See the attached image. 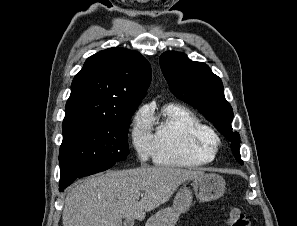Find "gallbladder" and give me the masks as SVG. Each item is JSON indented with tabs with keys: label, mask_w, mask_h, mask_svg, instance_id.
Segmentation results:
<instances>
[{
	"label": "gallbladder",
	"mask_w": 297,
	"mask_h": 226,
	"mask_svg": "<svg viewBox=\"0 0 297 226\" xmlns=\"http://www.w3.org/2000/svg\"><path fill=\"white\" fill-rule=\"evenodd\" d=\"M133 224H134V220L133 219H127L124 222V226H133Z\"/></svg>",
	"instance_id": "gallbladder-1"
}]
</instances>
